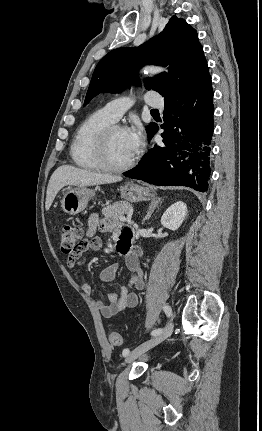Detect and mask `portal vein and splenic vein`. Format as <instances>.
<instances>
[{
	"label": "portal vein and splenic vein",
	"instance_id": "portal-vein-and-splenic-vein-1",
	"mask_svg": "<svg viewBox=\"0 0 262 431\" xmlns=\"http://www.w3.org/2000/svg\"><path fill=\"white\" fill-rule=\"evenodd\" d=\"M120 220L123 221V222H126V221L130 222L131 221V217L129 216V217L125 218V217L121 216Z\"/></svg>",
	"mask_w": 262,
	"mask_h": 431
}]
</instances>
